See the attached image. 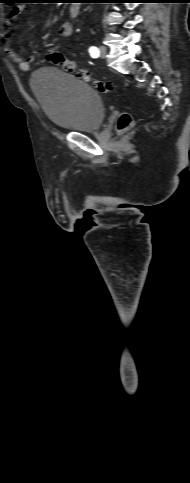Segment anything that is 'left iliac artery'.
Segmentation results:
<instances>
[{"mask_svg":"<svg viewBox=\"0 0 190 483\" xmlns=\"http://www.w3.org/2000/svg\"><path fill=\"white\" fill-rule=\"evenodd\" d=\"M89 52L93 58H97L99 56V50L95 46L90 47Z\"/></svg>","mask_w":190,"mask_h":483,"instance_id":"1","label":"left iliac artery"}]
</instances>
